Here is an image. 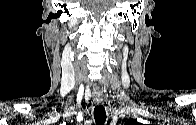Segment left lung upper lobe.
<instances>
[{
    "label": "left lung upper lobe",
    "mask_w": 196,
    "mask_h": 125,
    "mask_svg": "<svg viewBox=\"0 0 196 125\" xmlns=\"http://www.w3.org/2000/svg\"><path fill=\"white\" fill-rule=\"evenodd\" d=\"M138 123L137 121H135V120H128L127 122H126V124H129V125H131L132 123L134 124V123Z\"/></svg>",
    "instance_id": "1"
}]
</instances>
